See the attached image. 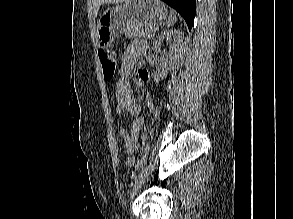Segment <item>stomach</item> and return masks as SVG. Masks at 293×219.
Instances as JSON below:
<instances>
[{
    "label": "stomach",
    "mask_w": 293,
    "mask_h": 219,
    "mask_svg": "<svg viewBox=\"0 0 293 219\" xmlns=\"http://www.w3.org/2000/svg\"><path fill=\"white\" fill-rule=\"evenodd\" d=\"M167 16V9L161 0H125L100 15L97 22L98 46L109 47L134 23L161 21Z\"/></svg>",
    "instance_id": "obj_1"
}]
</instances>
